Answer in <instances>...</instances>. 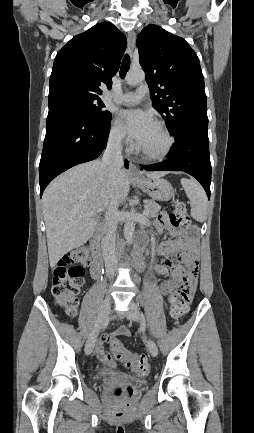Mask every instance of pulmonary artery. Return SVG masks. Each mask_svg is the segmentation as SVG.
<instances>
[{
  "label": "pulmonary artery",
  "instance_id": "e3ab8cb5",
  "mask_svg": "<svg viewBox=\"0 0 254 433\" xmlns=\"http://www.w3.org/2000/svg\"><path fill=\"white\" fill-rule=\"evenodd\" d=\"M148 91L149 90L146 85H140L135 92L120 94L115 99L117 102L124 105H135L148 94Z\"/></svg>",
  "mask_w": 254,
  "mask_h": 433
}]
</instances>
